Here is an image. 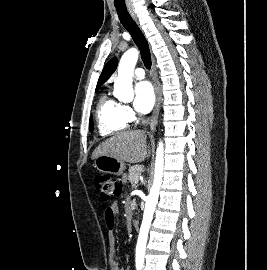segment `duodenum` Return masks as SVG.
<instances>
[{"label": "duodenum", "instance_id": "1", "mask_svg": "<svg viewBox=\"0 0 267 270\" xmlns=\"http://www.w3.org/2000/svg\"><path fill=\"white\" fill-rule=\"evenodd\" d=\"M132 225H133V227H134L135 229H138V228H139V221H138L137 219H134V220L132 221Z\"/></svg>", "mask_w": 267, "mask_h": 270}]
</instances>
